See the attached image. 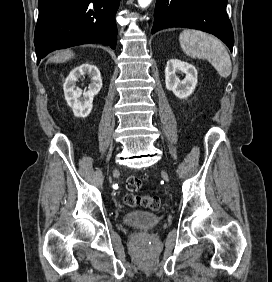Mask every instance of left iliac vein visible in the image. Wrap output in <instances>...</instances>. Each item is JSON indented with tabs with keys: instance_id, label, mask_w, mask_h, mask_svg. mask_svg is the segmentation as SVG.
<instances>
[{
	"instance_id": "4c4485c4",
	"label": "left iliac vein",
	"mask_w": 272,
	"mask_h": 282,
	"mask_svg": "<svg viewBox=\"0 0 272 282\" xmlns=\"http://www.w3.org/2000/svg\"><path fill=\"white\" fill-rule=\"evenodd\" d=\"M163 176H164L165 178H167V174H166L165 172H163Z\"/></svg>"
}]
</instances>
